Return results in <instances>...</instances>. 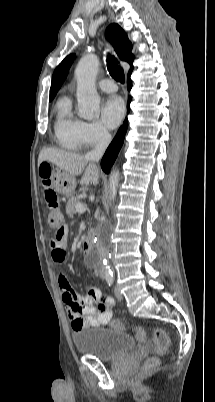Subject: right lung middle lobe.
I'll return each mask as SVG.
<instances>
[{"mask_svg": "<svg viewBox=\"0 0 215 402\" xmlns=\"http://www.w3.org/2000/svg\"><path fill=\"white\" fill-rule=\"evenodd\" d=\"M54 97H50V101L53 99Z\"/></svg>", "mask_w": 215, "mask_h": 402, "instance_id": "right-lung-middle-lobe-1", "label": "right lung middle lobe"}]
</instances>
